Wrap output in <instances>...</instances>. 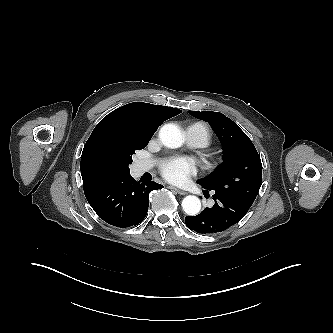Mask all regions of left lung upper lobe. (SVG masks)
<instances>
[{"instance_id": "obj_1", "label": "left lung upper lobe", "mask_w": 333, "mask_h": 333, "mask_svg": "<svg viewBox=\"0 0 333 333\" xmlns=\"http://www.w3.org/2000/svg\"><path fill=\"white\" fill-rule=\"evenodd\" d=\"M189 113L211 125L225 153V161L198 183L209 191L241 200L251 206L262 180V163L253 143L235 122L222 113Z\"/></svg>"}]
</instances>
